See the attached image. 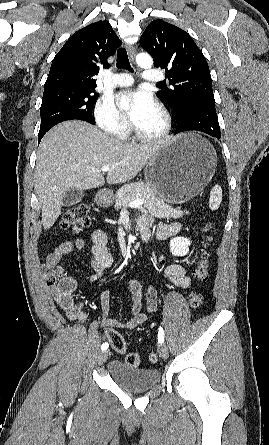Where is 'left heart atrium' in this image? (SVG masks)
<instances>
[{
  "label": "left heart atrium",
  "mask_w": 269,
  "mask_h": 445,
  "mask_svg": "<svg viewBox=\"0 0 269 445\" xmlns=\"http://www.w3.org/2000/svg\"><path fill=\"white\" fill-rule=\"evenodd\" d=\"M122 97L129 101L128 116L135 125L156 109L152 96L144 91L127 92Z\"/></svg>",
  "instance_id": "39dd6f15"
}]
</instances>
